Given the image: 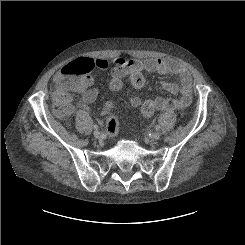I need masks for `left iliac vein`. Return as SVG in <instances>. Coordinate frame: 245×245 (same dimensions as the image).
Returning a JSON list of instances; mask_svg holds the SVG:
<instances>
[{"instance_id":"obj_1","label":"left iliac vein","mask_w":245,"mask_h":245,"mask_svg":"<svg viewBox=\"0 0 245 245\" xmlns=\"http://www.w3.org/2000/svg\"><path fill=\"white\" fill-rule=\"evenodd\" d=\"M151 138L153 140H158L160 138V133L159 132H155L154 134H152Z\"/></svg>"}]
</instances>
